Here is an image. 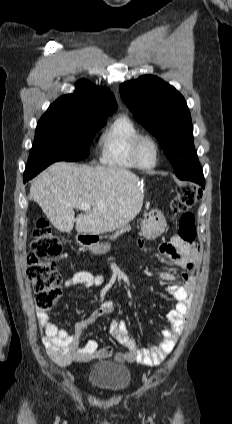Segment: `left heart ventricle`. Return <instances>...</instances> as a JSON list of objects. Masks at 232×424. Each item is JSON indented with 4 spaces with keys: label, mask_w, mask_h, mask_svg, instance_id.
I'll use <instances>...</instances> for the list:
<instances>
[{
    "label": "left heart ventricle",
    "mask_w": 232,
    "mask_h": 424,
    "mask_svg": "<svg viewBox=\"0 0 232 424\" xmlns=\"http://www.w3.org/2000/svg\"><path fill=\"white\" fill-rule=\"evenodd\" d=\"M154 154V146L150 141L145 140L139 145L138 157L143 165H151L154 160Z\"/></svg>",
    "instance_id": "1"
}]
</instances>
